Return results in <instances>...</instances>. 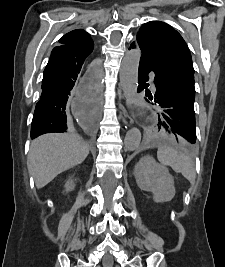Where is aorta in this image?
I'll return each mask as SVG.
<instances>
[{
    "label": "aorta",
    "mask_w": 225,
    "mask_h": 267,
    "mask_svg": "<svg viewBox=\"0 0 225 267\" xmlns=\"http://www.w3.org/2000/svg\"><path fill=\"white\" fill-rule=\"evenodd\" d=\"M141 57L139 49H131L122 60L120 68V84L126 94H136L138 85V67ZM141 141L139 129L129 130L124 139V147L128 151L136 150Z\"/></svg>",
    "instance_id": "1"
}]
</instances>
